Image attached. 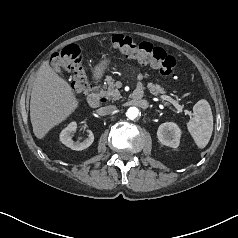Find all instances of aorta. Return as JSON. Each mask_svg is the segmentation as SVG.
<instances>
[{"label":"aorta","mask_w":238,"mask_h":238,"mask_svg":"<svg viewBox=\"0 0 238 238\" xmlns=\"http://www.w3.org/2000/svg\"><path fill=\"white\" fill-rule=\"evenodd\" d=\"M138 115L139 110L136 107H130L126 112V116L131 120H134Z\"/></svg>","instance_id":"762f6f07"}]
</instances>
